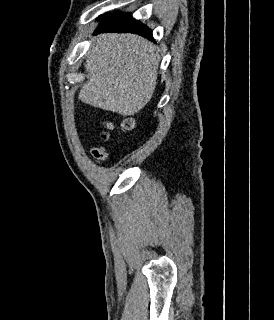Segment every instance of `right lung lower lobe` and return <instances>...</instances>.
<instances>
[{
	"mask_svg": "<svg viewBox=\"0 0 274 320\" xmlns=\"http://www.w3.org/2000/svg\"><path fill=\"white\" fill-rule=\"evenodd\" d=\"M101 32L134 33L154 40L152 31L141 22L135 20L130 13L117 12L105 17L94 34Z\"/></svg>",
	"mask_w": 274,
	"mask_h": 320,
	"instance_id": "1",
	"label": "right lung lower lobe"
}]
</instances>
